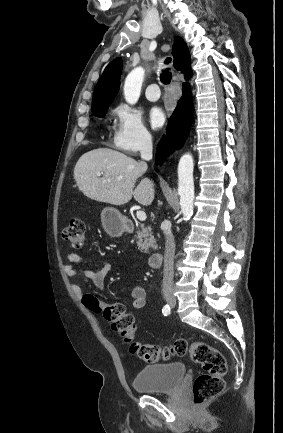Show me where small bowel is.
Returning a JSON list of instances; mask_svg holds the SVG:
<instances>
[{
	"instance_id": "obj_1",
	"label": "small bowel",
	"mask_w": 283,
	"mask_h": 433,
	"mask_svg": "<svg viewBox=\"0 0 283 433\" xmlns=\"http://www.w3.org/2000/svg\"><path fill=\"white\" fill-rule=\"evenodd\" d=\"M66 263L64 271L69 278H75L79 273H82L87 279L91 280L97 290L104 289V281L111 271V265L107 262H89L83 257L75 253H66L64 255ZM78 266H90L89 269L81 270ZM72 290L76 297L83 296L82 289L77 284H72ZM131 308L135 310L143 309L146 305V290L141 285H136L132 288L131 293Z\"/></svg>"
}]
</instances>
